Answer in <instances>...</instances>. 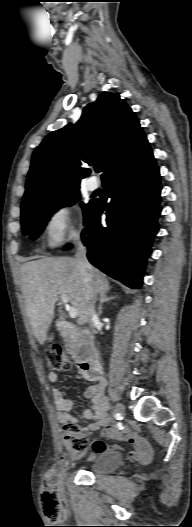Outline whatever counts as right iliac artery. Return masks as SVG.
Wrapping results in <instances>:
<instances>
[{"label": "right iliac artery", "instance_id": "1", "mask_svg": "<svg viewBox=\"0 0 192 527\" xmlns=\"http://www.w3.org/2000/svg\"><path fill=\"white\" fill-rule=\"evenodd\" d=\"M116 427L119 431H122L124 429V424L122 422H117Z\"/></svg>", "mask_w": 192, "mask_h": 527}]
</instances>
